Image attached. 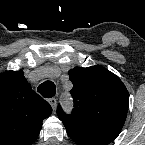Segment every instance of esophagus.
<instances>
[{"label":"esophagus","mask_w":145,"mask_h":145,"mask_svg":"<svg viewBox=\"0 0 145 145\" xmlns=\"http://www.w3.org/2000/svg\"><path fill=\"white\" fill-rule=\"evenodd\" d=\"M49 103H50L53 111H55L56 110V107H57V100H56V98H50L49 99Z\"/></svg>","instance_id":"esophagus-1"}]
</instances>
